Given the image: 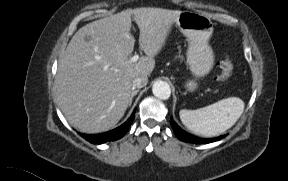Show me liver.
<instances>
[{
    "label": "liver",
    "instance_id": "6515ba94",
    "mask_svg": "<svg viewBox=\"0 0 288 181\" xmlns=\"http://www.w3.org/2000/svg\"><path fill=\"white\" fill-rule=\"evenodd\" d=\"M181 11L141 7L91 22L80 28L59 60L55 79L58 104L67 121L84 133H99L116 126L131 96L132 81L149 76L154 57ZM139 27V45L146 56L130 63Z\"/></svg>",
    "mask_w": 288,
    "mask_h": 181
}]
</instances>
